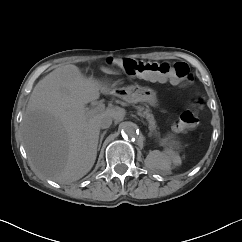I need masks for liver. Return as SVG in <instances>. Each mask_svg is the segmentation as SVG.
Instances as JSON below:
<instances>
[{
    "label": "liver",
    "mask_w": 242,
    "mask_h": 242,
    "mask_svg": "<svg viewBox=\"0 0 242 242\" xmlns=\"http://www.w3.org/2000/svg\"><path fill=\"white\" fill-rule=\"evenodd\" d=\"M107 74L112 70L101 67ZM100 93L115 90L86 77L72 64L58 67L34 87L22 120L24 147L33 169L58 183L81 179L93 167L100 133L99 121L108 115L121 121L126 111L115 107L89 115L85 105Z\"/></svg>",
    "instance_id": "obj_1"
}]
</instances>
